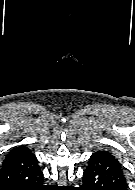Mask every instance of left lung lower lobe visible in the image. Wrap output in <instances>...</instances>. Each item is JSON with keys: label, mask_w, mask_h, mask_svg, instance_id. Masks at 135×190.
<instances>
[{"label": "left lung lower lobe", "mask_w": 135, "mask_h": 190, "mask_svg": "<svg viewBox=\"0 0 135 190\" xmlns=\"http://www.w3.org/2000/svg\"><path fill=\"white\" fill-rule=\"evenodd\" d=\"M82 190H128L121 164L102 154L94 153L83 173Z\"/></svg>", "instance_id": "obj_1"}]
</instances>
